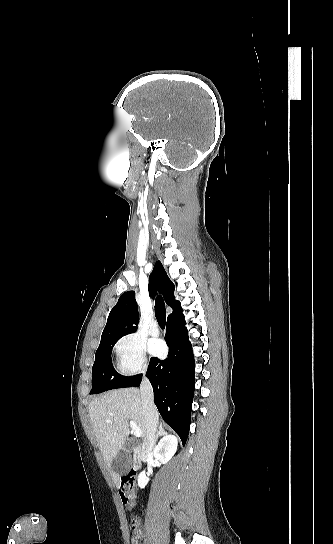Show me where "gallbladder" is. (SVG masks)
<instances>
[{
    "label": "gallbladder",
    "instance_id": "bac80fb5",
    "mask_svg": "<svg viewBox=\"0 0 333 544\" xmlns=\"http://www.w3.org/2000/svg\"><path fill=\"white\" fill-rule=\"evenodd\" d=\"M135 447V443L132 441H126L123 448L118 452L116 457L112 460L111 466L114 471L125 475L132 465L131 452Z\"/></svg>",
    "mask_w": 333,
    "mask_h": 544
}]
</instances>
